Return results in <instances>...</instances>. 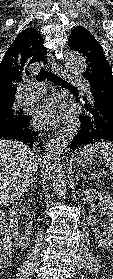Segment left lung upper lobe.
Segmentation results:
<instances>
[{"instance_id": "5c2ea615", "label": "left lung upper lobe", "mask_w": 113, "mask_h": 279, "mask_svg": "<svg viewBox=\"0 0 113 279\" xmlns=\"http://www.w3.org/2000/svg\"><path fill=\"white\" fill-rule=\"evenodd\" d=\"M71 50L78 51L86 58L88 68L84 76L92 90H98L108 98H113V75L102 47L95 37L84 27L74 28L69 36Z\"/></svg>"}]
</instances>
